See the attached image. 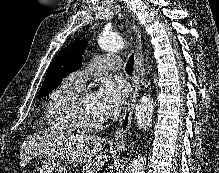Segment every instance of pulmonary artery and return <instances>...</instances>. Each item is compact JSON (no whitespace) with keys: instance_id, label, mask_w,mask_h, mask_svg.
I'll return each instance as SVG.
<instances>
[{"instance_id":"e3ab8cb5","label":"pulmonary artery","mask_w":219,"mask_h":173,"mask_svg":"<svg viewBox=\"0 0 219 173\" xmlns=\"http://www.w3.org/2000/svg\"><path fill=\"white\" fill-rule=\"evenodd\" d=\"M121 59L117 56L99 55L94 57L88 67L72 72L68 80L78 86H83L90 75L118 70Z\"/></svg>"}]
</instances>
